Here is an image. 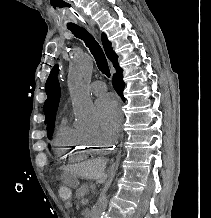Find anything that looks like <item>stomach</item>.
<instances>
[{"label":"stomach","mask_w":211,"mask_h":218,"mask_svg":"<svg viewBox=\"0 0 211 218\" xmlns=\"http://www.w3.org/2000/svg\"><path fill=\"white\" fill-rule=\"evenodd\" d=\"M64 183L69 186V187H72V188H76L78 187L79 185V181L77 179V176L74 175V174H67L65 177H64Z\"/></svg>","instance_id":"obj_1"}]
</instances>
